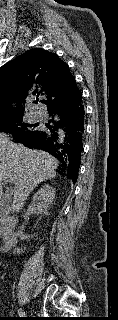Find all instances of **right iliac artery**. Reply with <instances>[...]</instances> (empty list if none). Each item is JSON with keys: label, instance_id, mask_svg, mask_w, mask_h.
Listing matches in <instances>:
<instances>
[{"label": "right iliac artery", "instance_id": "82829eb1", "mask_svg": "<svg viewBox=\"0 0 118 320\" xmlns=\"http://www.w3.org/2000/svg\"><path fill=\"white\" fill-rule=\"evenodd\" d=\"M18 314H19L20 316H24V315H25V312H24L22 309H19V310H18Z\"/></svg>", "mask_w": 118, "mask_h": 320}]
</instances>
